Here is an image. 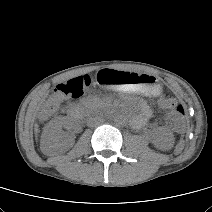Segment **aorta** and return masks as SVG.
Returning <instances> with one entry per match:
<instances>
[{"instance_id":"1","label":"aorta","mask_w":212,"mask_h":212,"mask_svg":"<svg viewBox=\"0 0 212 212\" xmlns=\"http://www.w3.org/2000/svg\"><path fill=\"white\" fill-rule=\"evenodd\" d=\"M115 123L117 125H124L125 124V118L123 116L119 115L115 118Z\"/></svg>"}]
</instances>
